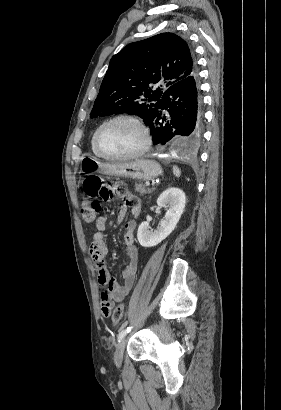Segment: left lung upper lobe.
<instances>
[{"instance_id": "5c2ea615", "label": "left lung upper lobe", "mask_w": 281, "mask_h": 410, "mask_svg": "<svg viewBox=\"0 0 281 410\" xmlns=\"http://www.w3.org/2000/svg\"><path fill=\"white\" fill-rule=\"evenodd\" d=\"M196 71L191 50L176 34L130 43L112 57L90 118L133 113L145 123L164 91Z\"/></svg>"}]
</instances>
